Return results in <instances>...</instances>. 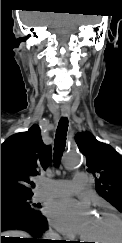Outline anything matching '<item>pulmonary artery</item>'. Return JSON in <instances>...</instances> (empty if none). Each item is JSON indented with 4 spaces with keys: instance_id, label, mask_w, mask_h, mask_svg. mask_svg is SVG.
<instances>
[{
    "instance_id": "pulmonary-artery-1",
    "label": "pulmonary artery",
    "mask_w": 122,
    "mask_h": 243,
    "mask_svg": "<svg viewBox=\"0 0 122 243\" xmlns=\"http://www.w3.org/2000/svg\"><path fill=\"white\" fill-rule=\"evenodd\" d=\"M87 186V175L76 171L74 180H55L44 185L38 192L37 198L43 199L54 196H67L73 192L82 191Z\"/></svg>"
}]
</instances>
